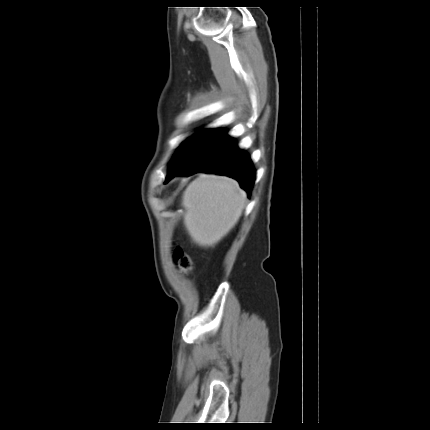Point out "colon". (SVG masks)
I'll return each mask as SVG.
<instances>
[{"instance_id": "1", "label": "colon", "mask_w": 430, "mask_h": 430, "mask_svg": "<svg viewBox=\"0 0 430 430\" xmlns=\"http://www.w3.org/2000/svg\"><path fill=\"white\" fill-rule=\"evenodd\" d=\"M173 259L182 275L189 274L193 269V262L190 256L181 248H176Z\"/></svg>"}]
</instances>
